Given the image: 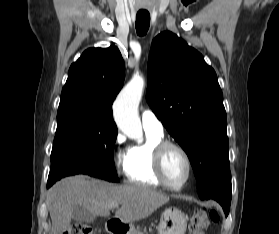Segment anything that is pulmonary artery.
Returning <instances> with one entry per match:
<instances>
[{"instance_id":"1","label":"pulmonary artery","mask_w":279,"mask_h":234,"mask_svg":"<svg viewBox=\"0 0 279 234\" xmlns=\"http://www.w3.org/2000/svg\"><path fill=\"white\" fill-rule=\"evenodd\" d=\"M142 126L145 131L156 134L163 133V125L151 109H144L141 113Z\"/></svg>"}]
</instances>
